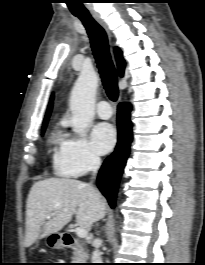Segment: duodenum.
I'll return each instance as SVG.
<instances>
[{
	"label": "duodenum",
	"instance_id": "duodenum-1",
	"mask_svg": "<svg viewBox=\"0 0 205 265\" xmlns=\"http://www.w3.org/2000/svg\"><path fill=\"white\" fill-rule=\"evenodd\" d=\"M61 243L63 246L73 250H77L79 248L78 241L71 234L68 233H64L61 235Z\"/></svg>",
	"mask_w": 205,
	"mask_h": 265
}]
</instances>
